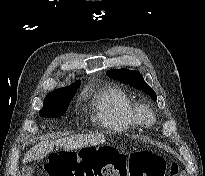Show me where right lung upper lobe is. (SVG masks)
Wrapping results in <instances>:
<instances>
[{
    "instance_id": "right-lung-upper-lobe-1",
    "label": "right lung upper lobe",
    "mask_w": 205,
    "mask_h": 176,
    "mask_svg": "<svg viewBox=\"0 0 205 176\" xmlns=\"http://www.w3.org/2000/svg\"><path fill=\"white\" fill-rule=\"evenodd\" d=\"M80 85V80L76 81L75 83H73L71 86L69 87H65V88H61V89H56L50 93H48L46 96L52 95V94H56L59 92H64V91H74L77 89V87H79Z\"/></svg>"
}]
</instances>
